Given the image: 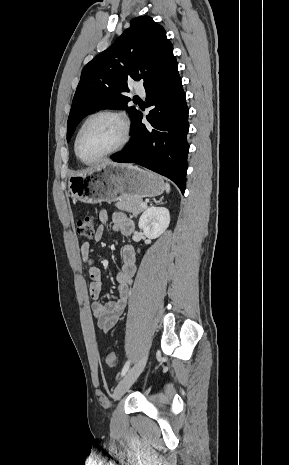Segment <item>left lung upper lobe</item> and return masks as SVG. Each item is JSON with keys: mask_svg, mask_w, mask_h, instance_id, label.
<instances>
[{"mask_svg": "<svg viewBox=\"0 0 289 465\" xmlns=\"http://www.w3.org/2000/svg\"><path fill=\"white\" fill-rule=\"evenodd\" d=\"M130 27L105 51L90 61L81 73L67 122V141L81 119L94 110H127L134 120L138 110L127 104L129 79L149 87L177 68L173 46L162 26L149 16L132 19Z\"/></svg>", "mask_w": 289, "mask_h": 465, "instance_id": "1", "label": "left lung upper lobe"}]
</instances>
